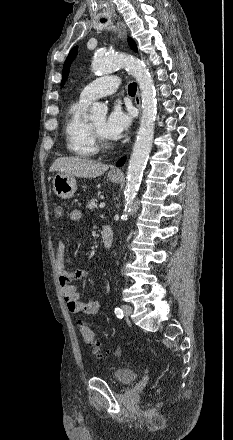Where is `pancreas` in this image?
<instances>
[{
  "label": "pancreas",
  "instance_id": "obj_1",
  "mask_svg": "<svg viewBox=\"0 0 233 440\" xmlns=\"http://www.w3.org/2000/svg\"><path fill=\"white\" fill-rule=\"evenodd\" d=\"M97 199H95V198H93V199H91L89 202H88V204H87V209H90V210H95V209H97Z\"/></svg>",
  "mask_w": 233,
  "mask_h": 440
}]
</instances>
